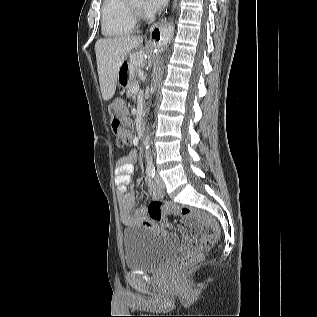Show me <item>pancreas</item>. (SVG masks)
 I'll return each instance as SVG.
<instances>
[{
    "label": "pancreas",
    "instance_id": "obj_1",
    "mask_svg": "<svg viewBox=\"0 0 317 317\" xmlns=\"http://www.w3.org/2000/svg\"><path fill=\"white\" fill-rule=\"evenodd\" d=\"M138 86V81L136 80V77L133 75V77L130 79L128 87H127V95L132 96L135 88Z\"/></svg>",
    "mask_w": 317,
    "mask_h": 317
}]
</instances>
